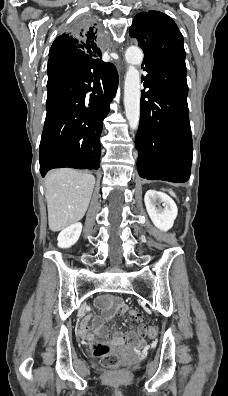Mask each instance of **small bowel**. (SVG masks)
<instances>
[{
  "mask_svg": "<svg viewBox=\"0 0 228 396\" xmlns=\"http://www.w3.org/2000/svg\"><path fill=\"white\" fill-rule=\"evenodd\" d=\"M98 308L102 311V316L96 317L93 320V327L100 334H106L108 332L107 327L104 324L105 320L112 319L115 315H121L129 311L138 320L142 321V315L133 310H129L124 304L121 298L114 296H102L98 298L96 302ZM79 335L82 338H88V320H84L79 329ZM146 336V328L141 325L137 332L130 331L126 336L115 333V339L118 342H128L132 346H141L144 344V337Z\"/></svg>",
  "mask_w": 228,
  "mask_h": 396,
  "instance_id": "obj_1",
  "label": "small bowel"
}]
</instances>
